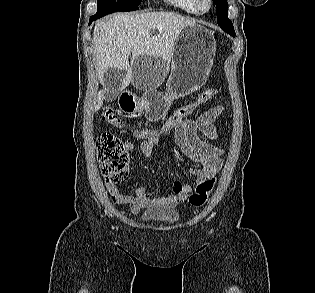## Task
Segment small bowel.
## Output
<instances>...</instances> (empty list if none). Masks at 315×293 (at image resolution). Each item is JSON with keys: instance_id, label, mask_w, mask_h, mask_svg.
Wrapping results in <instances>:
<instances>
[{"instance_id": "c3829d8e", "label": "small bowel", "mask_w": 315, "mask_h": 293, "mask_svg": "<svg viewBox=\"0 0 315 293\" xmlns=\"http://www.w3.org/2000/svg\"><path fill=\"white\" fill-rule=\"evenodd\" d=\"M222 106H214L201 113L196 119L188 116L181 119L174 127L175 148L161 141L157 135L144 138L140 143L141 154L149 158L153 148L159 147L167 150H178L191 161L198 164L200 168H193L190 173L197 178V184L215 176L222 167L223 150L211 143L202 141L197 132L201 131L211 140H218L220 133L214 125V121L222 114ZM127 150H133L131 142H126ZM107 191L113 201L118 205H129L133 213L140 208L165 206L175 207L187 199L192 191V186L187 183L175 181L171 193L167 196L153 197L152 192L146 186H139L135 194H123L117 185L107 183Z\"/></svg>"}]
</instances>
